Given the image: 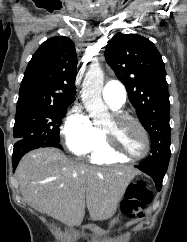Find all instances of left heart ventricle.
<instances>
[{
	"label": "left heart ventricle",
	"mask_w": 187,
	"mask_h": 242,
	"mask_svg": "<svg viewBox=\"0 0 187 242\" xmlns=\"http://www.w3.org/2000/svg\"><path fill=\"white\" fill-rule=\"evenodd\" d=\"M103 129L116 136L119 146L131 155H139L145 149V140L140 130L131 123L116 126L109 118Z\"/></svg>",
	"instance_id": "left-heart-ventricle-1"
}]
</instances>
